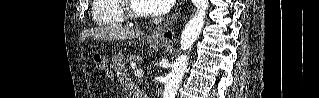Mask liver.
<instances>
[{
    "label": "liver",
    "mask_w": 319,
    "mask_h": 98,
    "mask_svg": "<svg viewBox=\"0 0 319 98\" xmlns=\"http://www.w3.org/2000/svg\"><path fill=\"white\" fill-rule=\"evenodd\" d=\"M144 33L128 26L121 25H107L99 26L87 31L84 36L91 37L94 40L114 41V40H128L142 36Z\"/></svg>",
    "instance_id": "liver-1"
}]
</instances>
